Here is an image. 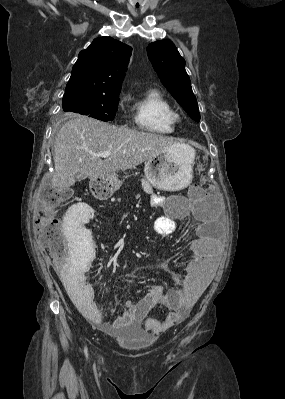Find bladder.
<instances>
[{
    "label": "bladder",
    "instance_id": "1",
    "mask_svg": "<svg viewBox=\"0 0 285 399\" xmlns=\"http://www.w3.org/2000/svg\"><path fill=\"white\" fill-rule=\"evenodd\" d=\"M116 341L121 343L124 347H126L130 351L134 352L146 349L149 344V338L140 332L136 333L133 336L118 337L116 338Z\"/></svg>",
    "mask_w": 285,
    "mask_h": 399
}]
</instances>
